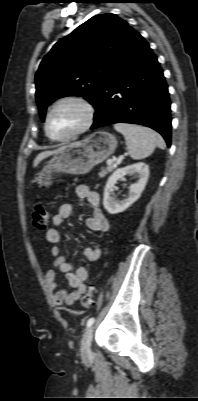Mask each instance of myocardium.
<instances>
[{
	"label": "myocardium",
	"mask_w": 198,
	"mask_h": 401,
	"mask_svg": "<svg viewBox=\"0 0 198 401\" xmlns=\"http://www.w3.org/2000/svg\"><path fill=\"white\" fill-rule=\"evenodd\" d=\"M64 103H75V104L79 105L85 112V120H84L83 124L81 125V127L78 128L73 133H71L67 136H64V137L55 138V137L51 136V134L49 132V119H50V116L53 113V111L58 106H60ZM95 114H96L95 106L93 105V103L90 100H88L84 96L71 95V96H66V97L60 98L49 108V110L46 114L45 124H44L45 133H46L47 137L49 139H51L52 141H55V142L69 141V140L76 138L79 135L83 134L93 125L94 120H95Z\"/></svg>",
	"instance_id": "f54148a6"
}]
</instances>
